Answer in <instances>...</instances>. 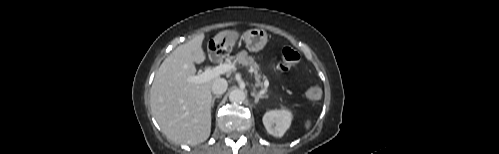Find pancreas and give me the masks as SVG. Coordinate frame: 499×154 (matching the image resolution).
I'll use <instances>...</instances> for the list:
<instances>
[{
	"label": "pancreas",
	"instance_id": "obj_1",
	"mask_svg": "<svg viewBox=\"0 0 499 154\" xmlns=\"http://www.w3.org/2000/svg\"><path fill=\"white\" fill-rule=\"evenodd\" d=\"M237 62L244 66H249L252 69V72L254 74V78L256 80L257 85L262 86L263 82L261 79L266 80V76L262 75L260 72V67L259 65L255 62L254 58L249 56L248 53L243 50L240 53L237 54L236 56Z\"/></svg>",
	"mask_w": 499,
	"mask_h": 154
}]
</instances>
